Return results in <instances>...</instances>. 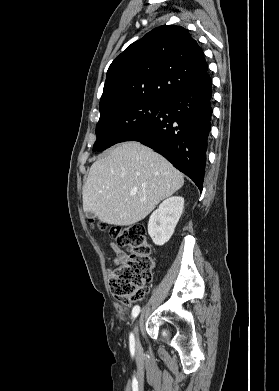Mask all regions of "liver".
<instances>
[{
    "label": "liver",
    "instance_id": "6515ba94",
    "mask_svg": "<svg viewBox=\"0 0 279 391\" xmlns=\"http://www.w3.org/2000/svg\"><path fill=\"white\" fill-rule=\"evenodd\" d=\"M183 184V175L163 156L139 142H124L92 164L83 210L104 223L132 225Z\"/></svg>",
    "mask_w": 279,
    "mask_h": 391
}]
</instances>
